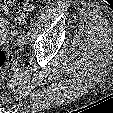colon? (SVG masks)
Masks as SVG:
<instances>
[{"instance_id":"obj_1","label":"colon","mask_w":113,"mask_h":113,"mask_svg":"<svg viewBox=\"0 0 113 113\" xmlns=\"http://www.w3.org/2000/svg\"><path fill=\"white\" fill-rule=\"evenodd\" d=\"M17 0H0V8L4 10L11 9L15 6ZM32 9L31 1L24 0L15 9V15L18 20H22ZM15 33L12 32L7 40V45L10 46L13 43ZM11 59L10 53L7 48H0V73L8 65Z\"/></svg>"}]
</instances>
